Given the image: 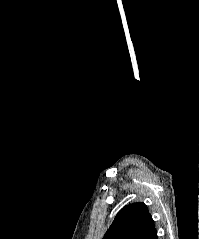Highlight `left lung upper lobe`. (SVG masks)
<instances>
[{
  "mask_svg": "<svg viewBox=\"0 0 199 239\" xmlns=\"http://www.w3.org/2000/svg\"><path fill=\"white\" fill-rule=\"evenodd\" d=\"M154 221L144 203L125 206L116 215L103 239H156Z\"/></svg>",
  "mask_w": 199,
  "mask_h": 239,
  "instance_id": "5c2ea615",
  "label": "left lung upper lobe"
}]
</instances>
